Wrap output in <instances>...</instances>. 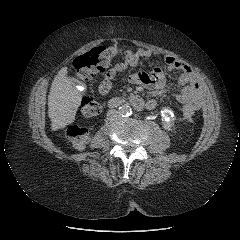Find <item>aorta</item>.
Returning <instances> with one entry per match:
<instances>
[{"label": "aorta", "instance_id": "762f6f07", "mask_svg": "<svg viewBox=\"0 0 240 240\" xmlns=\"http://www.w3.org/2000/svg\"><path fill=\"white\" fill-rule=\"evenodd\" d=\"M118 111H119V115L122 117H127V116L131 115V113H132L131 107L127 104L120 106Z\"/></svg>", "mask_w": 240, "mask_h": 240}]
</instances>
